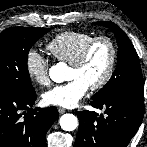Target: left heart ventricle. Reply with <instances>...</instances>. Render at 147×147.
I'll return each instance as SVG.
<instances>
[{"mask_svg":"<svg viewBox=\"0 0 147 147\" xmlns=\"http://www.w3.org/2000/svg\"><path fill=\"white\" fill-rule=\"evenodd\" d=\"M110 61V48L107 43H97L90 52L85 64L80 68L71 67L67 79H81L90 86L97 83L105 74Z\"/></svg>","mask_w":147,"mask_h":147,"instance_id":"left-heart-ventricle-1","label":"left heart ventricle"}]
</instances>
